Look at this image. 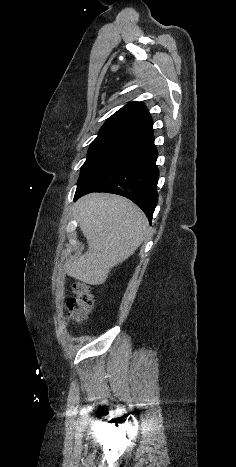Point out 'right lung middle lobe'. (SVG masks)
Masks as SVG:
<instances>
[{"label": "right lung middle lobe", "instance_id": "right-lung-middle-lobe-1", "mask_svg": "<svg viewBox=\"0 0 236 467\" xmlns=\"http://www.w3.org/2000/svg\"><path fill=\"white\" fill-rule=\"evenodd\" d=\"M140 136L135 131L120 128H101L97 138L90 145L87 160L81 167L78 182L94 167L117 149Z\"/></svg>", "mask_w": 236, "mask_h": 467}]
</instances>
